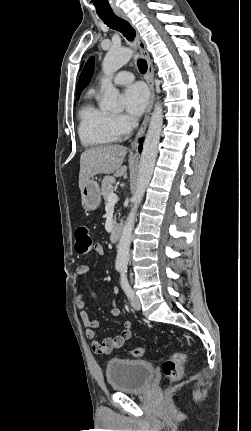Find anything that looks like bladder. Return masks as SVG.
<instances>
[{
	"label": "bladder",
	"mask_w": 251,
	"mask_h": 431,
	"mask_svg": "<svg viewBox=\"0 0 251 431\" xmlns=\"http://www.w3.org/2000/svg\"><path fill=\"white\" fill-rule=\"evenodd\" d=\"M154 372V366L150 362L129 359H111L105 369L109 386L122 393L145 390L152 381Z\"/></svg>",
	"instance_id": "1"
}]
</instances>
